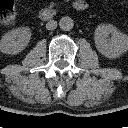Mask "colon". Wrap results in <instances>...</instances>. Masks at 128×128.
Instances as JSON below:
<instances>
[{
    "instance_id": "obj_1",
    "label": "colon",
    "mask_w": 128,
    "mask_h": 128,
    "mask_svg": "<svg viewBox=\"0 0 128 128\" xmlns=\"http://www.w3.org/2000/svg\"><path fill=\"white\" fill-rule=\"evenodd\" d=\"M17 17L14 0H0V24L12 25Z\"/></svg>"
}]
</instances>
